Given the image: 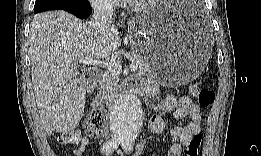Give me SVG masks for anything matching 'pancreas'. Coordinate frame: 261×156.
<instances>
[{"instance_id": "cf45deb5", "label": "pancreas", "mask_w": 261, "mask_h": 156, "mask_svg": "<svg viewBox=\"0 0 261 156\" xmlns=\"http://www.w3.org/2000/svg\"><path fill=\"white\" fill-rule=\"evenodd\" d=\"M119 60V58L116 60ZM131 63L137 65V70L139 73L150 75L151 69L147 61L141 57L140 53L133 51L131 54ZM119 75L106 70L100 75L99 84V94L96 97L97 101L104 102L108 97L114 96L118 91Z\"/></svg>"}]
</instances>
